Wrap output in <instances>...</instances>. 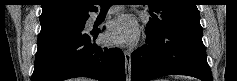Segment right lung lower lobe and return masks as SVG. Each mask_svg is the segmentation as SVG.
I'll use <instances>...</instances> for the list:
<instances>
[{
  "label": "right lung lower lobe",
  "mask_w": 237,
  "mask_h": 81,
  "mask_svg": "<svg viewBox=\"0 0 237 81\" xmlns=\"http://www.w3.org/2000/svg\"><path fill=\"white\" fill-rule=\"evenodd\" d=\"M41 24L31 81H62L90 77L100 81H125L124 54L102 48L93 41L100 30H85V22Z\"/></svg>",
  "instance_id": "obj_1"
}]
</instances>
